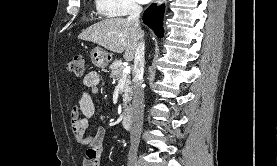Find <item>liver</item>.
Here are the masks:
<instances>
[{"label":"liver","instance_id":"obj_1","mask_svg":"<svg viewBox=\"0 0 277 166\" xmlns=\"http://www.w3.org/2000/svg\"><path fill=\"white\" fill-rule=\"evenodd\" d=\"M143 32L125 18H110L93 24L78 36L79 39L96 43L115 53H123L132 61Z\"/></svg>","mask_w":277,"mask_h":166}]
</instances>
